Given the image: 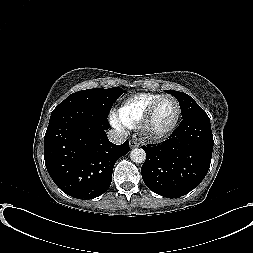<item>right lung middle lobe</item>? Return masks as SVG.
I'll return each mask as SVG.
<instances>
[{"instance_id":"1","label":"right lung middle lobe","mask_w":253,"mask_h":253,"mask_svg":"<svg viewBox=\"0 0 253 253\" xmlns=\"http://www.w3.org/2000/svg\"><path fill=\"white\" fill-rule=\"evenodd\" d=\"M123 94V89H87L69 95L55 109L69 106L82 107L107 118L113 103Z\"/></svg>"}]
</instances>
